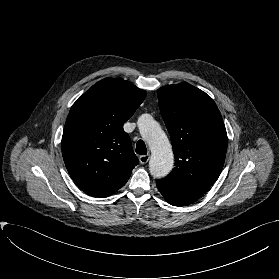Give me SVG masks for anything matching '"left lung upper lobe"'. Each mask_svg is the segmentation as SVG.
Here are the masks:
<instances>
[{"label": "left lung upper lobe", "mask_w": 279, "mask_h": 279, "mask_svg": "<svg viewBox=\"0 0 279 279\" xmlns=\"http://www.w3.org/2000/svg\"><path fill=\"white\" fill-rule=\"evenodd\" d=\"M162 118L171 137L175 168L162 181L201 197L218 179L227 151V133L213 99L180 83L157 91Z\"/></svg>", "instance_id": "5c2ea615"}]
</instances>
